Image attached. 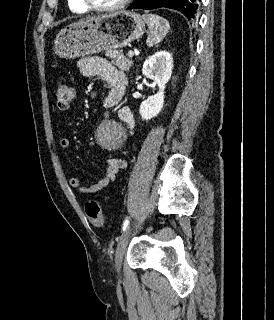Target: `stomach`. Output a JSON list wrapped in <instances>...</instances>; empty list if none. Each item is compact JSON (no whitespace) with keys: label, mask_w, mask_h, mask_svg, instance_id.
I'll list each match as a JSON object with an SVG mask.
<instances>
[{"label":"stomach","mask_w":274,"mask_h":320,"mask_svg":"<svg viewBox=\"0 0 274 320\" xmlns=\"http://www.w3.org/2000/svg\"><path fill=\"white\" fill-rule=\"evenodd\" d=\"M145 22L135 12H114L79 20L66 26L54 40V54L66 60L119 50L133 40L142 38Z\"/></svg>","instance_id":"0dacf381"}]
</instances>
